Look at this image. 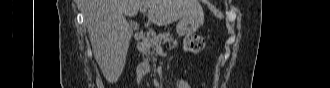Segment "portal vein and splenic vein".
Returning a JSON list of instances; mask_svg holds the SVG:
<instances>
[{
	"instance_id": "1",
	"label": "portal vein and splenic vein",
	"mask_w": 330,
	"mask_h": 88,
	"mask_svg": "<svg viewBox=\"0 0 330 88\" xmlns=\"http://www.w3.org/2000/svg\"><path fill=\"white\" fill-rule=\"evenodd\" d=\"M141 11H142V12H146V9H142ZM156 50L159 51V52H162V47H161L160 45H158V46L156 47Z\"/></svg>"
}]
</instances>
